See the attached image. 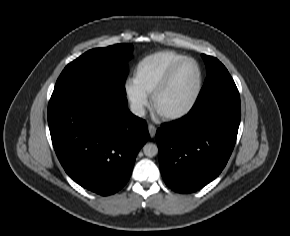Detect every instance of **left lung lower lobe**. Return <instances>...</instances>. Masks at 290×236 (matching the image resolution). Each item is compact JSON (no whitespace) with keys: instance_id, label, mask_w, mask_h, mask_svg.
Returning <instances> with one entry per match:
<instances>
[{"instance_id":"obj_1","label":"left lung lower lobe","mask_w":290,"mask_h":236,"mask_svg":"<svg viewBox=\"0 0 290 236\" xmlns=\"http://www.w3.org/2000/svg\"><path fill=\"white\" fill-rule=\"evenodd\" d=\"M241 119L237 87L193 106L183 118L157 130L164 182L180 193L195 192L223 170L234 148Z\"/></svg>"}]
</instances>
